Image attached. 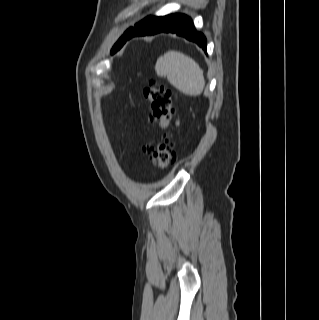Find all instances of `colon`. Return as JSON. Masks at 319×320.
<instances>
[{"instance_id":"obj_1","label":"colon","mask_w":319,"mask_h":320,"mask_svg":"<svg viewBox=\"0 0 319 320\" xmlns=\"http://www.w3.org/2000/svg\"><path fill=\"white\" fill-rule=\"evenodd\" d=\"M144 96L152 109V124L157 132L155 140L144 147L151 164L158 169L167 168L173 159L170 127L177 124L171 92L150 80Z\"/></svg>"}]
</instances>
